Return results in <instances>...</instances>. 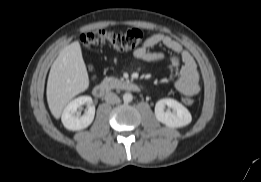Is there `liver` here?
Returning a JSON list of instances; mask_svg holds the SVG:
<instances>
[{
	"mask_svg": "<svg viewBox=\"0 0 261 182\" xmlns=\"http://www.w3.org/2000/svg\"><path fill=\"white\" fill-rule=\"evenodd\" d=\"M88 86L89 78L80 43L74 41L60 51L49 72L46 95L52 115L60 118L69 101Z\"/></svg>",
	"mask_w": 261,
	"mask_h": 182,
	"instance_id": "obj_1",
	"label": "liver"
}]
</instances>
